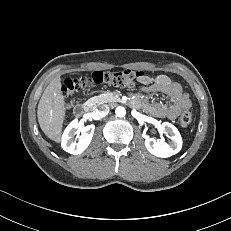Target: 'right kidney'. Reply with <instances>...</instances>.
Here are the masks:
<instances>
[{"mask_svg": "<svg viewBox=\"0 0 231 231\" xmlns=\"http://www.w3.org/2000/svg\"><path fill=\"white\" fill-rule=\"evenodd\" d=\"M94 125H88L84 128H81L78 120H73L65 129L62 136V148L70 154H81L90 144L93 134H94ZM81 130L82 136L78 142L74 140V135L79 134Z\"/></svg>", "mask_w": 231, "mask_h": 231, "instance_id": "obj_1", "label": "right kidney"}]
</instances>
